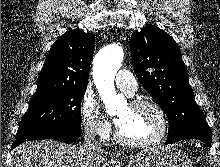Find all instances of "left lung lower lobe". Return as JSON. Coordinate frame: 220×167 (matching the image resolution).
I'll return each mask as SVG.
<instances>
[{
  "label": "left lung lower lobe",
  "mask_w": 220,
  "mask_h": 167,
  "mask_svg": "<svg viewBox=\"0 0 220 167\" xmlns=\"http://www.w3.org/2000/svg\"><path fill=\"white\" fill-rule=\"evenodd\" d=\"M183 139H198L203 142H205L209 147L212 143V136L210 131H202V132H196L189 135H186L180 139H167L166 144L176 143Z\"/></svg>",
  "instance_id": "obj_1"
}]
</instances>
